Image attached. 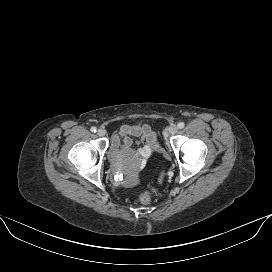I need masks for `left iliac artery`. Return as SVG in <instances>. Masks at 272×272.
I'll list each match as a JSON object with an SVG mask.
<instances>
[{"mask_svg":"<svg viewBox=\"0 0 272 272\" xmlns=\"http://www.w3.org/2000/svg\"><path fill=\"white\" fill-rule=\"evenodd\" d=\"M177 126L179 129H182L184 128L185 124L183 122H179Z\"/></svg>","mask_w":272,"mask_h":272,"instance_id":"left-iliac-artery-1","label":"left iliac artery"}]
</instances>
